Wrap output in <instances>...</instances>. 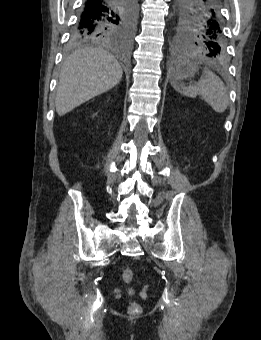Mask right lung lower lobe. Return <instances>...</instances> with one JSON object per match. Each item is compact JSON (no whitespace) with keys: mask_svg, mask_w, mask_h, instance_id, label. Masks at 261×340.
Segmentation results:
<instances>
[{"mask_svg":"<svg viewBox=\"0 0 261 340\" xmlns=\"http://www.w3.org/2000/svg\"><path fill=\"white\" fill-rule=\"evenodd\" d=\"M125 2L126 0H84L75 25L82 27L98 17L116 14L120 8L125 7Z\"/></svg>","mask_w":261,"mask_h":340,"instance_id":"98d812e1","label":"right lung lower lobe"}]
</instances>
